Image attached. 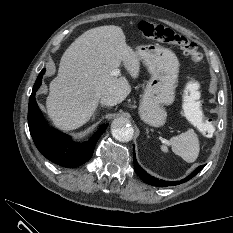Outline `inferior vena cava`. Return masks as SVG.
Here are the masks:
<instances>
[{
  "instance_id": "1",
  "label": "inferior vena cava",
  "mask_w": 233,
  "mask_h": 233,
  "mask_svg": "<svg viewBox=\"0 0 233 233\" xmlns=\"http://www.w3.org/2000/svg\"><path fill=\"white\" fill-rule=\"evenodd\" d=\"M100 103L106 106H114L117 104L116 98L111 94H106L101 97Z\"/></svg>"
}]
</instances>
